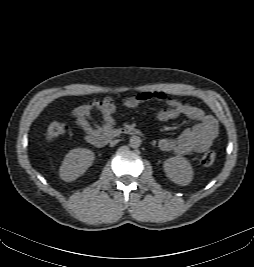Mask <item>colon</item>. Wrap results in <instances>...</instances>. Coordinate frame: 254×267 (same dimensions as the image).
<instances>
[{
    "instance_id": "obj_1",
    "label": "colon",
    "mask_w": 254,
    "mask_h": 267,
    "mask_svg": "<svg viewBox=\"0 0 254 267\" xmlns=\"http://www.w3.org/2000/svg\"><path fill=\"white\" fill-rule=\"evenodd\" d=\"M68 131V125L63 122L53 121L51 122L45 132V137L48 140H55L63 136ZM216 160V154L213 151L206 152L202 158L201 163L204 166L212 165Z\"/></svg>"
}]
</instances>
